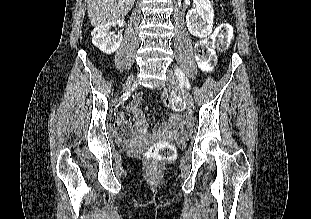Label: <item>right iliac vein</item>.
Segmentation results:
<instances>
[{"instance_id": "right-iliac-vein-1", "label": "right iliac vein", "mask_w": 311, "mask_h": 219, "mask_svg": "<svg viewBox=\"0 0 311 219\" xmlns=\"http://www.w3.org/2000/svg\"><path fill=\"white\" fill-rule=\"evenodd\" d=\"M132 80H133V77L128 78L127 82L124 85V89H127L130 86Z\"/></svg>"}]
</instances>
